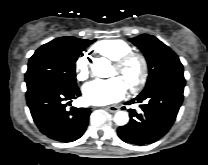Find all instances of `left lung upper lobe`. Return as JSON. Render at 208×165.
Masks as SVG:
<instances>
[{"label":"left lung upper lobe","instance_id":"obj_1","mask_svg":"<svg viewBox=\"0 0 208 165\" xmlns=\"http://www.w3.org/2000/svg\"><path fill=\"white\" fill-rule=\"evenodd\" d=\"M131 41L143 52L148 63L149 76L143 92L168 79H184L178 56L156 37L142 34Z\"/></svg>","mask_w":208,"mask_h":165}]
</instances>
